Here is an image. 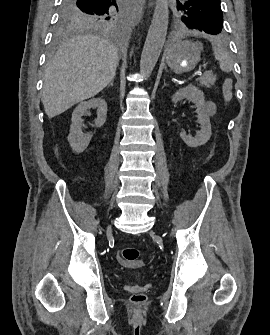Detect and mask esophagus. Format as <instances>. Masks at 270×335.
Here are the masks:
<instances>
[{
	"instance_id": "obj_1",
	"label": "esophagus",
	"mask_w": 270,
	"mask_h": 335,
	"mask_svg": "<svg viewBox=\"0 0 270 335\" xmlns=\"http://www.w3.org/2000/svg\"><path fill=\"white\" fill-rule=\"evenodd\" d=\"M140 3H144V1H143V0H140ZM148 5H149V6H152V5H153V2L150 1Z\"/></svg>"
}]
</instances>
